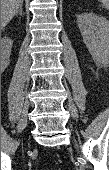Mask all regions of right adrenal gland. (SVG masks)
Segmentation results:
<instances>
[{
  "instance_id": "1",
  "label": "right adrenal gland",
  "mask_w": 109,
  "mask_h": 170,
  "mask_svg": "<svg viewBox=\"0 0 109 170\" xmlns=\"http://www.w3.org/2000/svg\"><path fill=\"white\" fill-rule=\"evenodd\" d=\"M20 16H23V5L20 6L19 11L17 12Z\"/></svg>"
}]
</instances>
